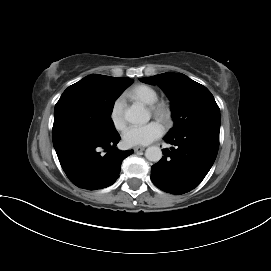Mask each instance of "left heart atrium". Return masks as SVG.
<instances>
[{"instance_id": "left-heart-atrium-1", "label": "left heart atrium", "mask_w": 271, "mask_h": 271, "mask_svg": "<svg viewBox=\"0 0 271 271\" xmlns=\"http://www.w3.org/2000/svg\"><path fill=\"white\" fill-rule=\"evenodd\" d=\"M163 133V126L154 121L145 125H130L124 130L122 137L127 146H143L160 138Z\"/></svg>"}]
</instances>
